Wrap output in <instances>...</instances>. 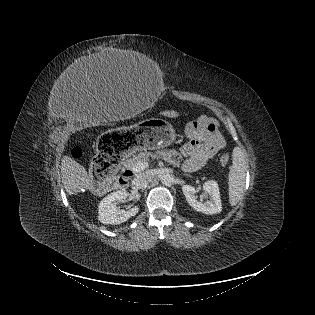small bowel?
Listing matches in <instances>:
<instances>
[{
  "mask_svg": "<svg viewBox=\"0 0 315 315\" xmlns=\"http://www.w3.org/2000/svg\"><path fill=\"white\" fill-rule=\"evenodd\" d=\"M187 142L180 152L187 170L202 167L225 146L224 138L214 119L203 115L189 122L185 128Z\"/></svg>",
  "mask_w": 315,
  "mask_h": 315,
  "instance_id": "1",
  "label": "small bowel"
}]
</instances>
